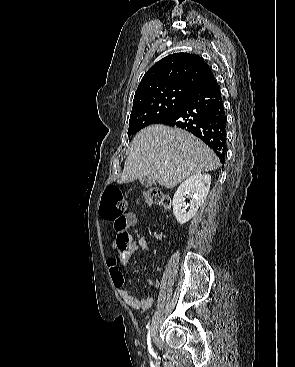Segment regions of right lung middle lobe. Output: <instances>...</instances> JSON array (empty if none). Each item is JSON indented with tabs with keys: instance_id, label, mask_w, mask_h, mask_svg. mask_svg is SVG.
<instances>
[{
	"instance_id": "right-lung-middle-lobe-1",
	"label": "right lung middle lobe",
	"mask_w": 295,
	"mask_h": 367,
	"mask_svg": "<svg viewBox=\"0 0 295 367\" xmlns=\"http://www.w3.org/2000/svg\"><path fill=\"white\" fill-rule=\"evenodd\" d=\"M191 94L183 89H170L134 101L129 121V137L167 117Z\"/></svg>"
}]
</instances>
